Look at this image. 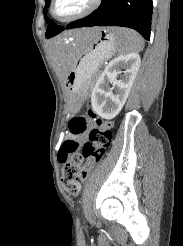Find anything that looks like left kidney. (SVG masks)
I'll list each match as a JSON object with an SVG mask.
<instances>
[{"label":"left kidney","instance_id":"left-kidney-1","mask_svg":"<svg viewBox=\"0 0 183 246\" xmlns=\"http://www.w3.org/2000/svg\"><path fill=\"white\" fill-rule=\"evenodd\" d=\"M141 58L138 53L120 55L105 67L91 95V105L96 114L104 119L115 118L123 108L139 70ZM123 71L121 78L118 74ZM113 84L115 93L109 88Z\"/></svg>","mask_w":183,"mask_h":246}]
</instances>
